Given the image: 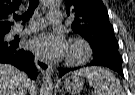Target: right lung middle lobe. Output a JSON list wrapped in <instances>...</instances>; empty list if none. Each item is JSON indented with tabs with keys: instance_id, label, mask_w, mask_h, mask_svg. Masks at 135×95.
<instances>
[{
	"instance_id": "obj_1",
	"label": "right lung middle lobe",
	"mask_w": 135,
	"mask_h": 95,
	"mask_svg": "<svg viewBox=\"0 0 135 95\" xmlns=\"http://www.w3.org/2000/svg\"><path fill=\"white\" fill-rule=\"evenodd\" d=\"M8 31H9V30H8ZM8 31H0V40H4V35H5Z\"/></svg>"
}]
</instances>
